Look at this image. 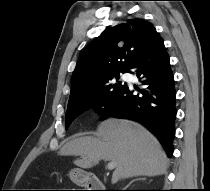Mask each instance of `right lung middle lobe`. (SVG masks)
<instances>
[{
  "label": "right lung middle lobe",
  "instance_id": "right-lung-middle-lobe-1",
  "mask_svg": "<svg viewBox=\"0 0 210 191\" xmlns=\"http://www.w3.org/2000/svg\"><path fill=\"white\" fill-rule=\"evenodd\" d=\"M126 72L128 71L109 74L98 80L88 92L69 99L65 128L67 129L81 112L92 106L100 113L104 112L116 95L126 86L121 81L118 82L120 73Z\"/></svg>",
  "mask_w": 210,
  "mask_h": 191
}]
</instances>
